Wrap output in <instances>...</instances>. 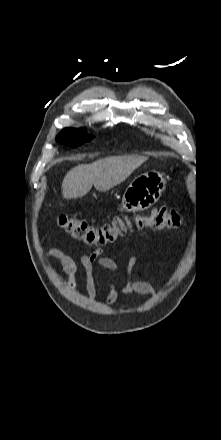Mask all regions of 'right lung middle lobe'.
Returning <instances> with one entry per match:
<instances>
[{"label": "right lung middle lobe", "instance_id": "right-lung-middle-lobe-1", "mask_svg": "<svg viewBox=\"0 0 221 440\" xmlns=\"http://www.w3.org/2000/svg\"><path fill=\"white\" fill-rule=\"evenodd\" d=\"M93 137L89 136L84 130L65 128L57 137V141L71 147H76L84 142L90 141Z\"/></svg>", "mask_w": 221, "mask_h": 440}]
</instances>
